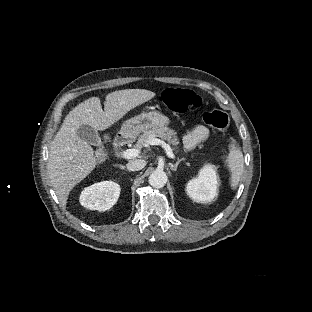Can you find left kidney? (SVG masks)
<instances>
[{
    "instance_id": "1",
    "label": "left kidney",
    "mask_w": 312,
    "mask_h": 312,
    "mask_svg": "<svg viewBox=\"0 0 312 312\" xmlns=\"http://www.w3.org/2000/svg\"><path fill=\"white\" fill-rule=\"evenodd\" d=\"M218 177L215 166L204 165L196 178L191 179L186 185V192L195 202L207 204L218 195Z\"/></svg>"
}]
</instances>
